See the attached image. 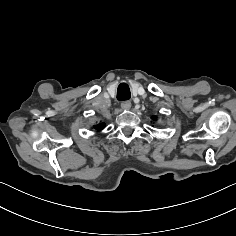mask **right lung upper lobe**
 Returning <instances> with one entry per match:
<instances>
[{
	"mask_svg": "<svg viewBox=\"0 0 236 236\" xmlns=\"http://www.w3.org/2000/svg\"><path fill=\"white\" fill-rule=\"evenodd\" d=\"M104 127H105V123H103V122L93 126V128L96 130H101Z\"/></svg>",
	"mask_w": 236,
	"mask_h": 236,
	"instance_id": "right-lung-upper-lobe-1",
	"label": "right lung upper lobe"
}]
</instances>
